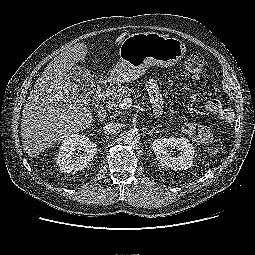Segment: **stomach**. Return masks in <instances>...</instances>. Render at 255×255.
Returning <instances> with one entry per match:
<instances>
[{"label": "stomach", "mask_w": 255, "mask_h": 255, "mask_svg": "<svg viewBox=\"0 0 255 255\" xmlns=\"http://www.w3.org/2000/svg\"><path fill=\"white\" fill-rule=\"evenodd\" d=\"M186 53V46L179 39L156 32L129 35L119 48L120 62L110 71L108 82L112 88L143 76L151 66L170 67Z\"/></svg>", "instance_id": "0dacf381"}]
</instances>
